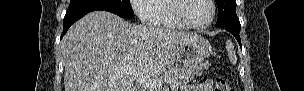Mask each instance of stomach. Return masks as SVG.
<instances>
[{"label": "stomach", "mask_w": 304, "mask_h": 91, "mask_svg": "<svg viewBox=\"0 0 304 91\" xmlns=\"http://www.w3.org/2000/svg\"><path fill=\"white\" fill-rule=\"evenodd\" d=\"M212 54L211 45L204 38H197L186 43L178 53L177 59L189 67H200Z\"/></svg>", "instance_id": "obj_1"}]
</instances>
